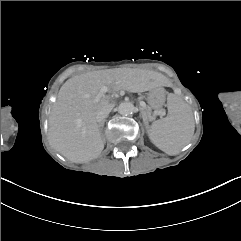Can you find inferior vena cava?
I'll return each instance as SVG.
<instances>
[{
  "mask_svg": "<svg viewBox=\"0 0 241 241\" xmlns=\"http://www.w3.org/2000/svg\"><path fill=\"white\" fill-rule=\"evenodd\" d=\"M111 110H112V108L109 107V108L97 113L96 121L99 124V126L104 124L105 118L108 116V114L111 112Z\"/></svg>",
  "mask_w": 241,
  "mask_h": 241,
  "instance_id": "1",
  "label": "inferior vena cava"
}]
</instances>
